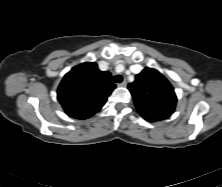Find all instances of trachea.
<instances>
[{"mask_svg": "<svg viewBox=\"0 0 222 187\" xmlns=\"http://www.w3.org/2000/svg\"><path fill=\"white\" fill-rule=\"evenodd\" d=\"M114 82L121 83L123 81V77L121 75H116L113 78Z\"/></svg>", "mask_w": 222, "mask_h": 187, "instance_id": "trachea-1", "label": "trachea"}]
</instances>
